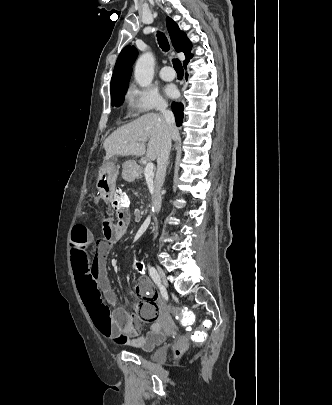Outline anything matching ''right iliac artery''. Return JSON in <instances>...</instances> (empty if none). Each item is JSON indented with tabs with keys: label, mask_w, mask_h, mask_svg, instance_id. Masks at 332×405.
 I'll list each match as a JSON object with an SVG mask.
<instances>
[{
	"label": "right iliac artery",
	"mask_w": 332,
	"mask_h": 405,
	"mask_svg": "<svg viewBox=\"0 0 332 405\" xmlns=\"http://www.w3.org/2000/svg\"><path fill=\"white\" fill-rule=\"evenodd\" d=\"M149 274H150V277L152 278V280L154 281V283L157 284L158 286H160L161 280L154 267H149Z\"/></svg>",
	"instance_id": "right-iliac-artery-1"
}]
</instances>
